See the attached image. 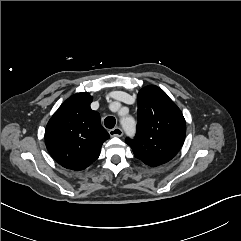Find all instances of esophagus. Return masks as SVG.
<instances>
[{
  "label": "esophagus",
  "mask_w": 241,
  "mask_h": 241,
  "mask_svg": "<svg viewBox=\"0 0 241 241\" xmlns=\"http://www.w3.org/2000/svg\"><path fill=\"white\" fill-rule=\"evenodd\" d=\"M112 137H121L123 135V130L120 127L113 128L109 131Z\"/></svg>",
  "instance_id": "1"
}]
</instances>
